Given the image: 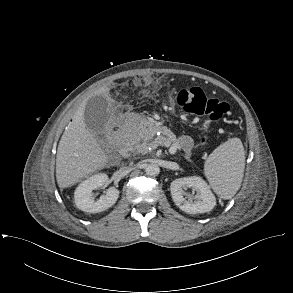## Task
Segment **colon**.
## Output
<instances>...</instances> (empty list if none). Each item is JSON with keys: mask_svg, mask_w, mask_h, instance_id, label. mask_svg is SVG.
Returning <instances> with one entry per match:
<instances>
[{"mask_svg": "<svg viewBox=\"0 0 293 293\" xmlns=\"http://www.w3.org/2000/svg\"><path fill=\"white\" fill-rule=\"evenodd\" d=\"M177 102L185 113L206 116L213 121L222 118L229 111L228 103L207 96L203 89L198 86L181 89L177 95Z\"/></svg>", "mask_w": 293, "mask_h": 293, "instance_id": "5ec220e1", "label": "colon"}]
</instances>
